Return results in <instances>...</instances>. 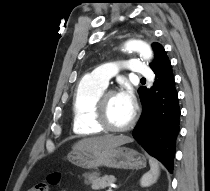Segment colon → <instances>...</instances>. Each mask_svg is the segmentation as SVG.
Wrapping results in <instances>:
<instances>
[{
    "label": "colon",
    "mask_w": 210,
    "mask_h": 191,
    "mask_svg": "<svg viewBox=\"0 0 210 191\" xmlns=\"http://www.w3.org/2000/svg\"><path fill=\"white\" fill-rule=\"evenodd\" d=\"M61 181V174L58 172L50 173L46 182L37 184L29 189V191H50V188L56 186Z\"/></svg>",
    "instance_id": "obj_1"
}]
</instances>
